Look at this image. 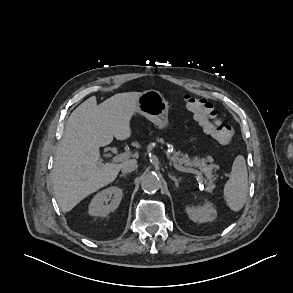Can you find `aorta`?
Returning <instances> with one entry per match:
<instances>
[{
    "label": "aorta",
    "instance_id": "obj_1",
    "mask_svg": "<svg viewBox=\"0 0 293 293\" xmlns=\"http://www.w3.org/2000/svg\"><path fill=\"white\" fill-rule=\"evenodd\" d=\"M161 187V180L155 173H147L141 181V188L146 193H154Z\"/></svg>",
    "mask_w": 293,
    "mask_h": 293
}]
</instances>
